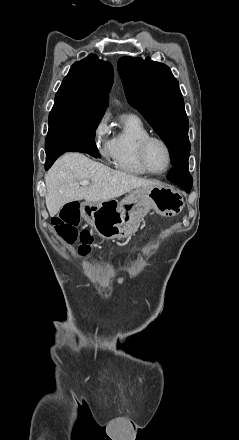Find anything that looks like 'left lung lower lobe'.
Returning a JSON list of instances; mask_svg holds the SVG:
<instances>
[{
  "label": "left lung lower lobe",
  "instance_id": "obj_1",
  "mask_svg": "<svg viewBox=\"0 0 239 440\" xmlns=\"http://www.w3.org/2000/svg\"><path fill=\"white\" fill-rule=\"evenodd\" d=\"M167 178L171 182L180 186L187 193L190 192L193 179L188 171V163L173 166Z\"/></svg>",
  "mask_w": 239,
  "mask_h": 440
}]
</instances>
